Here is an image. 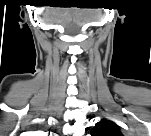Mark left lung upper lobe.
<instances>
[{
    "label": "left lung upper lobe",
    "instance_id": "obj_1",
    "mask_svg": "<svg viewBox=\"0 0 151 136\" xmlns=\"http://www.w3.org/2000/svg\"><path fill=\"white\" fill-rule=\"evenodd\" d=\"M92 136H121L120 128L114 122L102 119L91 130Z\"/></svg>",
    "mask_w": 151,
    "mask_h": 136
}]
</instances>
